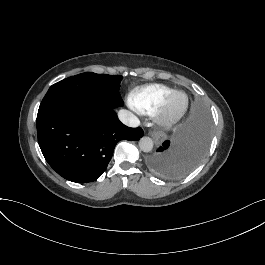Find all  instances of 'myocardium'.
<instances>
[{"mask_svg":"<svg viewBox=\"0 0 265 265\" xmlns=\"http://www.w3.org/2000/svg\"><path fill=\"white\" fill-rule=\"evenodd\" d=\"M181 94V92L172 93L169 98L166 100L165 104L162 106L159 113V122L166 127L172 126L179 122L182 117L185 115L188 108V99L186 98L177 112L172 111V104L174 99Z\"/></svg>","mask_w":265,"mask_h":265,"instance_id":"1","label":"myocardium"}]
</instances>
